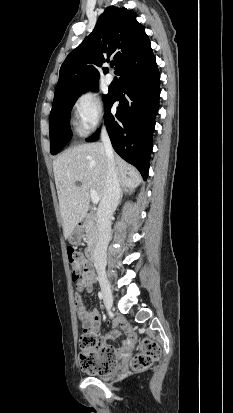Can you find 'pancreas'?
<instances>
[{"instance_id":"obj_1","label":"pancreas","mask_w":233,"mask_h":413,"mask_svg":"<svg viewBox=\"0 0 233 413\" xmlns=\"http://www.w3.org/2000/svg\"><path fill=\"white\" fill-rule=\"evenodd\" d=\"M87 244L93 246L98 239V225L92 217L86 218L84 222Z\"/></svg>"}]
</instances>
